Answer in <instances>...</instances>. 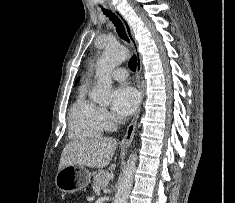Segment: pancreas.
Listing matches in <instances>:
<instances>
[{"label":"pancreas","instance_id":"obj_1","mask_svg":"<svg viewBox=\"0 0 235 203\" xmlns=\"http://www.w3.org/2000/svg\"><path fill=\"white\" fill-rule=\"evenodd\" d=\"M93 185L92 188L95 191L96 189H100L104 186H107L110 181V174L104 170H98L93 173Z\"/></svg>","mask_w":235,"mask_h":203}]
</instances>
